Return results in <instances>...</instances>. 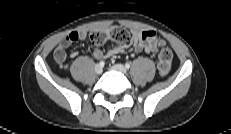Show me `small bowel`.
<instances>
[{
  "mask_svg": "<svg viewBox=\"0 0 231 134\" xmlns=\"http://www.w3.org/2000/svg\"><path fill=\"white\" fill-rule=\"evenodd\" d=\"M87 36L88 33L85 30L73 31L67 35L54 51L55 61L59 65H65L67 58L66 49L79 40H85ZM158 46V40L155 32L150 30L142 31L138 29H132L130 31V42L128 44L113 46L106 51L100 48H95L92 52V56L95 59H102L112 57L114 55L125 54L128 52L139 54L144 51L148 54H151L158 50ZM78 55L79 52L77 50H74L70 53V57L72 58H76Z\"/></svg>",
  "mask_w": 231,
  "mask_h": 134,
  "instance_id": "c3829d8e",
  "label": "small bowel"
}]
</instances>
